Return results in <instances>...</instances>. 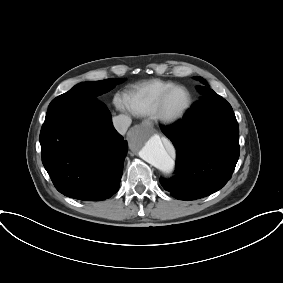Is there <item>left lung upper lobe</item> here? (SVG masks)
<instances>
[{
  "label": "left lung upper lobe",
  "mask_w": 283,
  "mask_h": 283,
  "mask_svg": "<svg viewBox=\"0 0 283 283\" xmlns=\"http://www.w3.org/2000/svg\"><path fill=\"white\" fill-rule=\"evenodd\" d=\"M195 78L204 84L203 86H197V89L202 94L201 97L202 100L210 98L215 94V92L212 89L207 87V82L204 79H202L201 77H195ZM225 130L229 133L239 134V126L235 114H233L232 118L230 119V123L226 126Z\"/></svg>",
  "instance_id": "left-lung-upper-lobe-1"
}]
</instances>
